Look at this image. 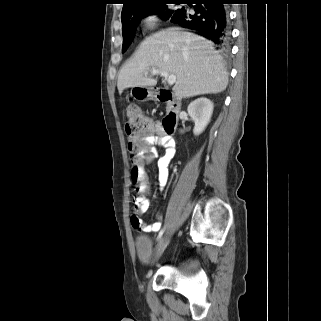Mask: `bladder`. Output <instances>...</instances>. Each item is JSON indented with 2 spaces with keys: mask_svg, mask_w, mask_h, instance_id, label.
Masks as SVG:
<instances>
[{
  "mask_svg": "<svg viewBox=\"0 0 321 321\" xmlns=\"http://www.w3.org/2000/svg\"><path fill=\"white\" fill-rule=\"evenodd\" d=\"M135 248L142 263L148 264L151 262L153 255V241L148 235H138L135 238Z\"/></svg>",
  "mask_w": 321,
  "mask_h": 321,
  "instance_id": "31cf9c89",
  "label": "bladder"
}]
</instances>
